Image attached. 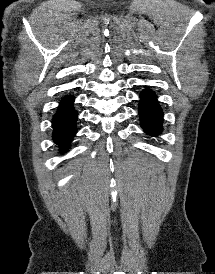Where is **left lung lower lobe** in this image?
<instances>
[{
    "mask_svg": "<svg viewBox=\"0 0 215 274\" xmlns=\"http://www.w3.org/2000/svg\"><path fill=\"white\" fill-rule=\"evenodd\" d=\"M139 117L143 130L147 134L156 135L162 131L163 114L157 97L150 89L140 94Z\"/></svg>",
    "mask_w": 215,
    "mask_h": 274,
    "instance_id": "left-lung-lower-lobe-1",
    "label": "left lung lower lobe"
}]
</instances>
